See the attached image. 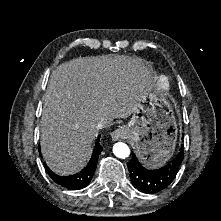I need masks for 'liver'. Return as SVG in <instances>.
<instances>
[{"label":"liver","mask_w":221,"mask_h":221,"mask_svg":"<svg viewBox=\"0 0 221 221\" xmlns=\"http://www.w3.org/2000/svg\"><path fill=\"white\" fill-rule=\"evenodd\" d=\"M147 83V66L138 57H79L57 66L41 118V151L49 168L60 175L80 171L91 156L97 123L128 118Z\"/></svg>","instance_id":"liver-1"}]
</instances>
